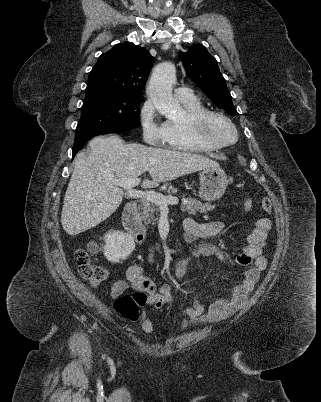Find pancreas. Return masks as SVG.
<instances>
[{
    "label": "pancreas",
    "mask_w": 321,
    "mask_h": 402,
    "mask_svg": "<svg viewBox=\"0 0 321 402\" xmlns=\"http://www.w3.org/2000/svg\"><path fill=\"white\" fill-rule=\"evenodd\" d=\"M215 208V205H211L208 203L203 204L199 200L193 199L189 197L186 199L181 205V211L187 212L189 215H196L197 212L207 213L212 211ZM159 208L155 203L142 199L140 204V219L146 225L152 224L155 225L158 221V217H155L154 214H158Z\"/></svg>",
    "instance_id": "obj_1"
}]
</instances>
